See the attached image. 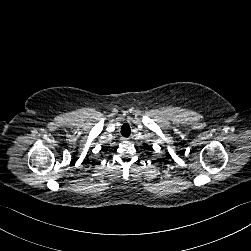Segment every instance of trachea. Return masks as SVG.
<instances>
[{
	"instance_id": "1",
	"label": "trachea",
	"mask_w": 251,
	"mask_h": 251,
	"mask_svg": "<svg viewBox=\"0 0 251 251\" xmlns=\"http://www.w3.org/2000/svg\"><path fill=\"white\" fill-rule=\"evenodd\" d=\"M121 134L124 137H128L131 134V128H130V126L127 123H125V124L122 125V127H121Z\"/></svg>"
}]
</instances>
